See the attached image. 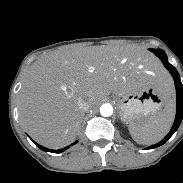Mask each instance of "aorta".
I'll return each mask as SVG.
<instances>
[{"instance_id":"762f6f07","label":"aorta","mask_w":183,"mask_h":183,"mask_svg":"<svg viewBox=\"0 0 183 183\" xmlns=\"http://www.w3.org/2000/svg\"><path fill=\"white\" fill-rule=\"evenodd\" d=\"M100 114L104 117H109L113 114V107L109 103H105L100 107Z\"/></svg>"}]
</instances>
